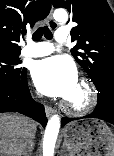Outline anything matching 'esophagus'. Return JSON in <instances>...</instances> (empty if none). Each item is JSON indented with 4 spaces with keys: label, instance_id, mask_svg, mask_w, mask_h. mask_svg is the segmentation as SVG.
Wrapping results in <instances>:
<instances>
[{
    "label": "esophagus",
    "instance_id": "34e87169",
    "mask_svg": "<svg viewBox=\"0 0 114 156\" xmlns=\"http://www.w3.org/2000/svg\"><path fill=\"white\" fill-rule=\"evenodd\" d=\"M52 12H53V8H51L50 13L47 16V23L51 30H55L57 28V23L54 21L52 17ZM54 112L55 110L52 107L48 105L45 106V113L48 118L51 117L54 114Z\"/></svg>",
    "mask_w": 114,
    "mask_h": 156
}]
</instances>
